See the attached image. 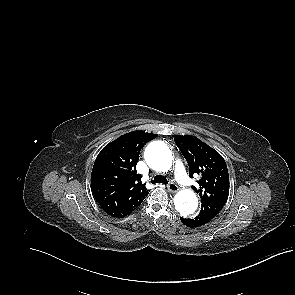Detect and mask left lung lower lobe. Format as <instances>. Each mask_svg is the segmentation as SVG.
Returning <instances> with one entry per match:
<instances>
[{
	"label": "left lung lower lobe",
	"mask_w": 295,
	"mask_h": 295,
	"mask_svg": "<svg viewBox=\"0 0 295 295\" xmlns=\"http://www.w3.org/2000/svg\"><path fill=\"white\" fill-rule=\"evenodd\" d=\"M217 213L214 212H200L195 218H180L181 222L188 227H199L208 223L212 218H214Z\"/></svg>",
	"instance_id": "left-lung-lower-lobe-1"
}]
</instances>
